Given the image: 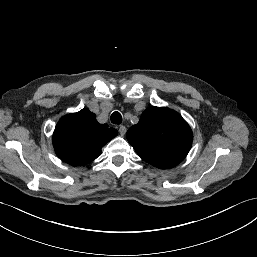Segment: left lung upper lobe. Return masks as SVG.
Listing matches in <instances>:
<instances>
[{
	"label": "left lung upper lobe",
	"instance_id": "5c2ea615",
	"mask_svg": "<svg viewBox=\"0 0 257 257\" xmlns=\"http://www.w3.org/2000/svg\"><path fill=\"white\" fill-rule=\"evenodd\" d=\"M128 142L147 163L172 168L188 154L193 134L187 122L166 107L146 109L126 134Z\"/></svg>",
	"mask_w": 257,
	"mask_h": 257
}]
</instances>
